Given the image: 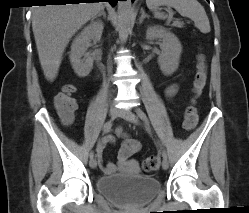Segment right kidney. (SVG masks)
<instances>
[{
	"mask_svg": "<svg viewBox=\"0 0 249 213\" xmlns=\"http://www.w3.org/2000/svg\"><path fill=\"white\" fill-rule=\"evenodd\" d=\"M103 28L101 21H92L73 40L69 57L72 68L79 77H86L93 68V59L86 54L87 43L90 39L100 40Z\"/></svg>",
	"mask_w": 249,
	"mask_h": 213,
	"instance_id": "1",
	"label": "right kidney"
}]
</instances>
